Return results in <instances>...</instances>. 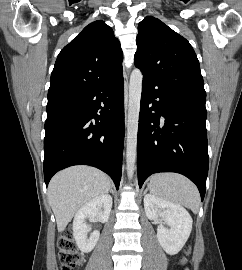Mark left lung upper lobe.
<instances>
[{
	"label": "left lung upper lobe",
	"instance_id": "1",
	"mask_svg": "<svg viewBox=\"0 0 242 270\" xmlns=\"http://www.w3.org/2000/svg\"><path fill=\"white\" fill-rule=\"evenodd\" d=\"M138 31L135 65L143 77L170 91L206 98L199 61L184 37L152 16L139 23Z\"/></svg>",
	"mask_w": 242,
	"mask_h": 270
}]
</instances>
